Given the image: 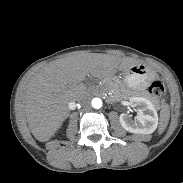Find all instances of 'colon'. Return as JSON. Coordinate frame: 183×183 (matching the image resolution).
<instances>
[{
	"instance_id": "obj_1",
	"label": "colon",
	"mask_w": 183,
	"mask_h": 183,
	"mask_svg": "<svg viewBox=\"0 0 183 183\" xmlns=\"http://www.w3.org/2000/svg\"><path fill=\"white\" fill-rule=\"evenodd\" d=\"M149 92L153 97L160 99L163 96L164 87L161 82L154 81L149 86Z\"/></svg>"
}]
</instances>
